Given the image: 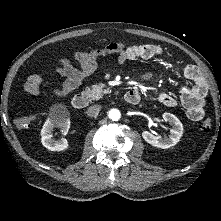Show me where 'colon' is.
<instances>
[{
  "mask_svg": "<svg viewBox=\"0 0 221 221\" xmlns=\"http://www.w3.org/2000/svg\"><path fill=\"white\" fill-rule=\"evenodd\" d=\"M42 81L43 78L40 74H33L29 76L24 85L25 91L30 94H38L40 92ZM32 121H33L32 116H25L18 118L16 124L20 128H26L32 123ZM211 127H212V121L210 118L205 119L201 125L202 130L205 132L210 131Z\"/></svg>",
  "mask_w": 221,
  "mask_h": 221,
  "instance_id": "5ec220e1",
  "label": "colon"
}]
</instances>
